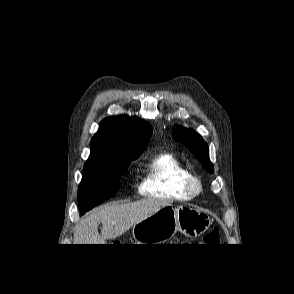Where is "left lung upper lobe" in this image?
Listing matches in <instances>:
<instances>
[{"mask_svg": "<svg viewBox=\"0 0 294 294\" xmlns=\"http://www.w3.org/2000/svg\"><path fill=\"white\" fill-rule=\"evenodd\" d=\"M174 139L192 150L201 165L213 173V164L209 160L208 146L203 138L191 129L176 125L173 130Z\"/></svg>", "mask_w": 294, "mask_h": 294, "instance_id": "obj_1", "label": "left lung upper lobe"}]
</instances>
